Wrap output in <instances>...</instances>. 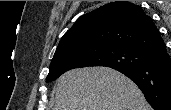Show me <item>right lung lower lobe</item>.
Listing matches in <instances>:
<instances>
[{"instance_id":"98d812e1","label":"right lung lower lobe","mask_w":171,"mask_h":110,"mask_svg":"<svg viewBox=\"0 0 171 110\" xmlns=\"http://www.w3.org/2000/svg\"><path fill=\"white\" fill-rule=\"evenodd\" d=\"M116 70L137 84L155 110H171V58L165 44L149 53L145 63Z\"/></svg>"}]
</instances>
